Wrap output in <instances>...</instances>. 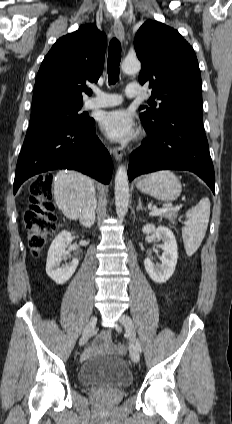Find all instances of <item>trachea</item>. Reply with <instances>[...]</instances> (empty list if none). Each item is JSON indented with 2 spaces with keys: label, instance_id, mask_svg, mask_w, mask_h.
Instances as JSON below:
<instances>
[{
  "label": "trachea",
  "instance_id": "trachea-1",
  "mask_svg": "<svg viewBox=\"0 0 232 424\" xmlns=\"http://www.w3.org/2000/svg\"><path fill=\"white\" fill-rule=\"evenodd\" d=\"M121 61V43L113 38L108 49V79L109 84H115L119 80V65Z\"/></svg>",
  "mask_w": 232,
  "mask_h": 424
}]
</instances>
